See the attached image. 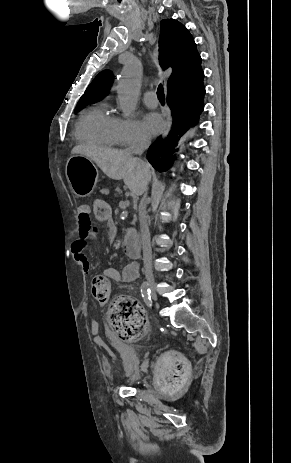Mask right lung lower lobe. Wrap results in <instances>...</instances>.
I'll return each instance as SVG.
<instances>
[{
	"instance_id": "1",
	"label": "right lung lower lobe",
	"mask_w": 291,
	"mask_h": 463,
	"mask_svg": "<svg viewBox=\"0 0 291 463\" xmlns=\"http://www.w3.org/2000/svg\"><path fill=\"white\" fill-rule=\"evenodd\" d=\"M203 78L202 71L194 86L167 92V104L173 117L171 130L164 140L159 137L150 146L147 154L148 161L156 170L166 171L171 166L173 154L178 151L180 142L198 125L204 109Z\"/></svg>"
}]
</instances>
